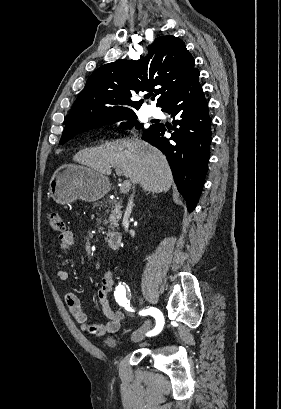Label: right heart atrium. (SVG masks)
Masks as SVG:
<instances>
[{"label":"right heart atrium","instance_id":"obj_1","mask_svg":"<svg viewBox=\"0 0 281 409\" xmlns=\"http://www.w3.org/2000/svg\"><path fill=\"white\" fill-rule=\"evenodd\" d=\"M124 127H125L124 121H117L113 125L110 126V128L108 129V132H111L114 129L124 128Z\"/></svg>","mask_w":281,"mask_h":409}]
</instances>
